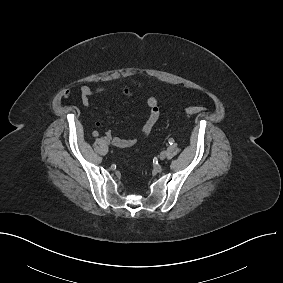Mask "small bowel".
Instances as JSON below:
<instances>
[{
	"label": "small bowel",
	"mask_w": 283,
	"mask_h": 283,
	"mask_svg": "<svg viewBox=\"0 0 283 283\" xmlns=\"http://www.w3.org/2000/svg\"><path fill=\"white\" fill-rule=\"evenodd\" d=\"M111 89L107 87H96L91 88L87 85H83L80 89L81 92V100L83 105L89 106L91 104V98L95 95L103 94L109 92ZM119 91L124 95H130L131 92L126 86H122ZM146 106L148 109V117L142 127L140 128L138 135L131 138H120L114 137L112 138L111 132H107V136L112 138V143L115 147L118 148H128L135 145L138 139L146 138L155 125L157 124L160 117V110L158 107L157 99L154 96H150L146 101ZM99 125V123H96Z\"/></svg>",
	"instance_id": "c3829d8e"
}]
</instances>
